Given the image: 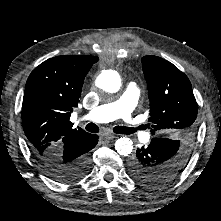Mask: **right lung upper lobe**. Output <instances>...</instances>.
<instances>
[{"instance_id": "1", "label": "right lung upper lobe", "mask_w": 221, "mask_h": 221, "mask_svg": "<svg viewBox=\"0 0 221 221\" xmlns=\"http://www.w3.org/2000/svg\"><path fill=\"white\" fill-rule=\"evenodd\" d=\"M98 61L93 56H57L36 67L28 77L22 104V124L34 155L81 141L89 135L69 121L78 106L84 78Z\"/></svg>"}]
</instances>
